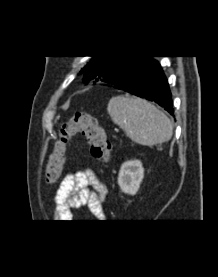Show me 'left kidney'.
<instances>
[{
  "label": "left kidney",
  "mask_w": 218,
  "mask_h": 277,
  "mask_svg": "<svg viewBox=\"0 0 218 277\" xmlns=\"http://www.w3.org/2000/svg\"><path fill=\"white\" fill-rule=\"evenodd\" d=\"M144 178V168L141 161L130 160L121 165L118 175V185L122 192L135 195Z\"/></svg>",
  "instance_id": "1"
}]
</instances>
